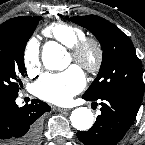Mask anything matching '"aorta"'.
<instances>
[{
    "label": "aorta",
    "instance_id": "1",
    "mask_svg": "<svg viewBox=\"0 0 145 145\" xmlns=\"http://www.w3.org/2000/svg\"><path fill=\"white\" fill-rule=\"evenodd\" d=\"M66 50L56 42H48L42 50V62L48 70H63L69 62L65 59ZM70 121L74 128L79 131L90 129L94 123L92 111L86 107H79L72 111Z\"/></svg>",
    "mask_w": 145,
    "mask_h": 145
}]
</instances>
